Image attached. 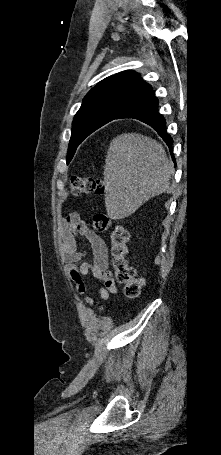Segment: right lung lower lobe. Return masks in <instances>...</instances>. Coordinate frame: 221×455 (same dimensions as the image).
I'll return each mask as SVG.
<instances>
[{
  "instance_id": "right-lung-lower-lobe-1",
  "label": "right lung lower lobe",
  "mask_w": 221,
  "mask_h": 455,
  "mask_svg": "<svg viewBox=\"0 0 221 455\" xmlns=\"http://www.w3.org/2000/svg\"><path fill=\"white\" fill-rule=\"evenodd\" d=\"M158 103L159 102L157 98L155 96H152L151 94L141 102L125 110L116 119L134 118L150 125L154 130L158 132L159 136L163 138V140L166 142L171 151L173 140L170 137V135L166 132V121L164 117L158 113Z\"/></svg>"
}]
</instances>
